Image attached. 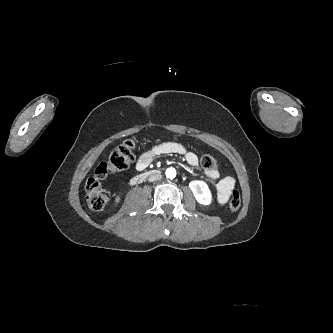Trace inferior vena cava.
Returning a JSON list of instances; mask_svg holds the SVG:
<instances>
[{
  "label": "inferior vena cava",
  "mask_w": 333,
  "mask_h": 333,
  "mask_svg": "<svg viewBox=\"0 0 333 333\" xmlns=\"http://www.w3.org/2000/svg\"><path fill=\"white\" fill-rule=\"evenodd\" d=\"M162 178V175L161 174H152L149 176V181L150 182H153V181H156V180H160Z\"/></svg>",
  "instance_id": "602c4592"
}]
</instances>
